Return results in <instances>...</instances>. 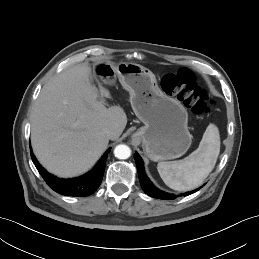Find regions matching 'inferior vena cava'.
Here are the masks:
<instances>
[{
    "label": "inferior vena cava",
    "instance_id": "1",
    "mask_svg": "<svg viewBox=\"0 0 259 259\" xmlns=\"http://www.w3.org/2000/svg\"><path fill=\"white\" fill-rule=\"evenodd\" d=\"M103 132L109 139H112L115 136V131L111 128H106Z\"/></svg>",
    "mask_w": 259,
    "mask_h": 259
}]
</instances>
